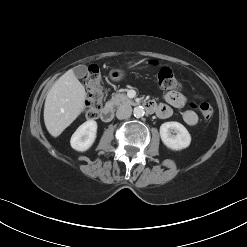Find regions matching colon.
<instances>
[{"label": "colon", "instance_id": "5ec220e1", "mask_svg": "<svg viewBox=\"0 0 247 247\" xmlns=\"http://www.w3.org/2000/svg\"><path fill=\"white\" fill-rule=\"evenodd\" d=\"M156 80L159 87L164 90L174 91L180 87L177 77L169 67H160L156 72ZM84 81L88 91L85 116L88 119H94L101 112L103 105L101 73L96 65L89 67ZM197 109L205 119L211 118L213 114V108L206 102L199 104Z\"/></svg>", "mask_w": 247, "mask_h": 247}]
</instances>
